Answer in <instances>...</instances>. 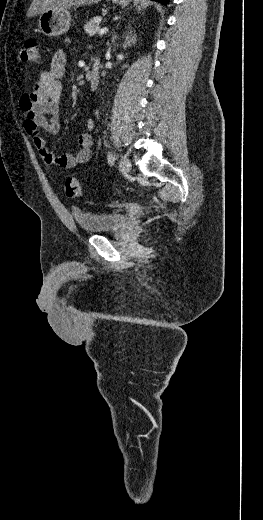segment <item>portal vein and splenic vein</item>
I'll use <instances>...</instances> for the list:
<instances>
[{
	"mask_svg": "<svg viewBox=\"0 0 263 520\" xmlns=\"http://www.w3.org/2000/svg\"><path fill=\"white\" fill-rule=\"evenodd\" d=\"M107 31H108V28L105 27V28L100 29L98 33H99V35H104Z\"/></svg>",
	"mask_w": 263,
	"mask_h": 520,
	"instance_id": "obj_1",
	"label": "portal vein and splenic vein"
}]
</instances>
